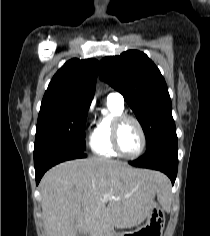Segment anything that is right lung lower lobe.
<instances>
[{
    "mask_svg": "<svg viewBox=\"0 0 210 236\" xmlns=\"http://www.w3.org/2000/svg\"><path fill=\"white\" fill-rule=\"evenodd\" d=\"M84 151L61 145L42 146L34 149V166L36 184L38 185L43 174L52 166L71 159L85 158Z\"/></svg>",
    "mask_w": 210,
    "mask_h": 236,
    "instance_id": "98d812e1",
    "label": "right lung lower lobe"
}]
</instances>
